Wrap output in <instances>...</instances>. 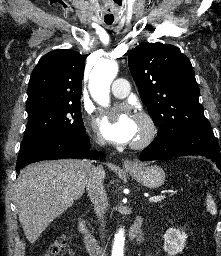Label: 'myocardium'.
Here are the masks:
<instances>
[{"instance_id":"1","label":"myocardium","mask_w":221,"mask_h":256,"mask_svg":"<svg viewBox=\"0 0 221 256\" xmlns=\"http://www.w3.org/2000/svg\"><path fill=\"white\" fill-rule=\"evenodd\" d=\"M144 126L142 135L135 139L131 146L135 149H141L149 146L158 135V125L155 119L147 112H139L136 117Z\"/></svg>"}]
</instances>
